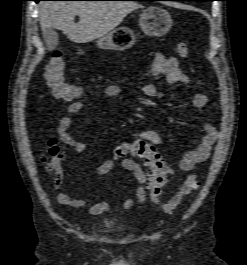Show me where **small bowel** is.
<instances>
[{
    "instance_id": "1",
    "label": "small bowel",
    "mask_w": 247,
    "mask_h": 265,
    "mask_svg": "<svg viewBox=\"0 0 247 265\" xmlns=\"http://www.w3.org/2000/svg\"><path fill=\"white\" fill-rule=\"evenodd\" d=\"M152 72L157 79L165 80L168 84H190L192 78L184 73L175 57H166L162 53H157L152 63ZM143 93L151 98H161L163 94L152 84H146L142 87ZM122 93L119 85L111 84L102 90L103 96L107 98L117 97ZM209 98L203 93H193L190 97V103L195 108L207 107ZM85 106L84 101H74L67 107V114L61 118L57 133L58 138L51 137L48 140V154L53 159V165L48 164V171L51 174L53 186L58 190L64 180L62 162L66 158V150L71 147L77 152H82L86 148L84 141L70 132V115L78 113ZM205 134L199 145L190 151H187L179 161V169L184 172L191 171L197 164L204 162L209 157L210 151L218 139V130L208 121L204 125ZM136 141L150 143L154 146L163 145L164 138L157 131L151 129H141L133 133ZM45 161V159H43ZM115 166L113 159H107L96 169L97 175L109 173ZM122 168L135 178L137 187L135 190L136 202L143 204L146 200L147 174L142 166L132 158H127L122 162ZM57 200L60 204L71 206L73 208H84L88 205V200L84 198H74L68 193H59ZM133 198H127L123 202V207L128 209L134 205ZM109 210V204L106 201H99L90 205L87 209L90 215H101Z\"/></svg>"
}]
</instances>
